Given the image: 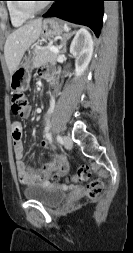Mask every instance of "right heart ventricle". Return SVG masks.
Here are the masks:
<instances>
[{"instance_id": "right-heart-ventricle-1", "label": "right heart ventricle", "mask_w": 133, "mask_h": 253, "mask_svg": "<svg viewBox=\"0 0 133 253\" xmlns=\"http://www.w3.org/2000/svg\"><path fill=\"white\" fill-rule=\"evenodd\" d=\"M7 11H8V14H9L10 22L14 27L22 26L30 18L28 16L22 15L18 11V9L16 7V2L14 0L8 1Z\"/></svg>"}]
</instances>
